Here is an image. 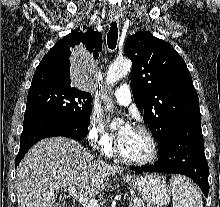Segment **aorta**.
<instances>
[{"instance_id":"aorta-1","label":"aorta","mask_w":220,"mask_h":207,"mask_svg":"<svg viewBox=\"0 0 220 207\" xmlns=\"http://www.w3.org/2000/svg\"><path fill=\"white\" fill-rule=\"evenodd\" d=\"M131 67H132V63L130 60L116 61L112 63L107 71V76H106L107 86L113 85L114 83L125 77L131 70ZM105 100L107 101V109L109 110L111 107V104L109 103L110 100L107 96L105 97ZM120 123L121 121L119 120V124ZM117 125H118V121L117 122L114 121L111 124V128L115 129Z\"/></svg>"}]
</instances>
